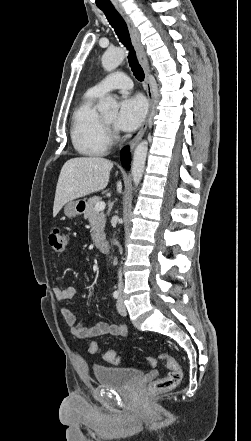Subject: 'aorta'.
Listing matches in <instances>:
<instances>
[{"label":"aorta","mask_w":251,"mask_h":441,"mask_svg":"<svg viewBox=\"0 0 251 441\" xmlns=\"http://www.w3.org/2000/svg\"><path fill=\"white\" fill-rule=\"evenodd\" d=\"M125 58V52L123 49L116 48L107 50L102 56L103 68L111 72L115 70ZM98 111L103 115H116L118 112V105L114 98L107 97L105 100L99 103ZM148 152L147 141H141L135 148L132 160L131 173L135 186L140 183L144 170L145 162Z\"/></svg>","instance_id":"1"}]
</instances>
